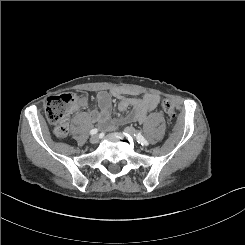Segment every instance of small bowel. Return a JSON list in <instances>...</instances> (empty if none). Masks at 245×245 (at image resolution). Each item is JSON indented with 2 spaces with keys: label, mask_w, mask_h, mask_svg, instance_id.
<instances>
[{
  "label": "small bowel",
  "mask_w": 245,
  "mask_h": 245,
  "mask_svg": "<svg viewBox=\"0 0 245 245\" xmlns=\"http://www.w3.org/2000/svg\"><path fill=\"white\" fill-rule=\"evenodd\" d=\"M113 96L119 100L118 110L124 122H144L148 112L155 110L160 102V97L153 93H147L139 97L126 96L120 90L113 91ZM98 109L90 112V116L98 123H106L112 113V98L107 91H101L97 94ZM86 105V100L79 103L80 107ZM132 108L131 112L123 115L126 109Z\"/></svg>",
  "instance_id": "obj_1"
}]
</instances>
